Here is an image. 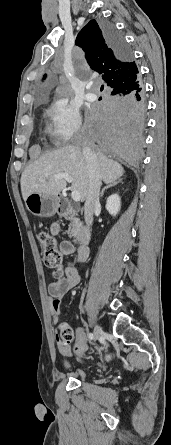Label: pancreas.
<instances>
[{
	"label": "pancreas",
	"mask_w": 171,
	"mask_h": 445,
	"mask_svg": "<svg viewBox=\"0 0 171 445\" xmlns=\"http://www.w3.org/2000/svg\"><path fill=\"white\" fill-rule=\"evenodd\" d=\"M70 224L68 234L70 237L79 238L83 231L82 222L73 213L69 216Z\"/></svg>",
	"instance_id": "pancreas-1"
}]
</instances>
